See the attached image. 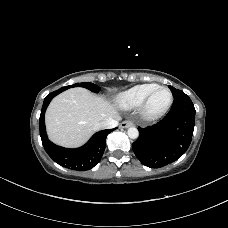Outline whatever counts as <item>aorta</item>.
I'll use <instances>...</instances> for the list:
<instances>
[{"label": "aorta", "instance_id": "aorta-1", "mask_svg": "<svg viewBox=\"0 0 228 228\" xmlns=\"http://www.w3.org/2000/svg\"><path fill=\"white\" fill-rule=\"evenodd\" d=\"M127 134L129 136V138H131V139H136L139 136V132H138V129L136 127L128 128Z\"/></svg>", "mask_w": 228, "mask_h": 228}]
</instances>
